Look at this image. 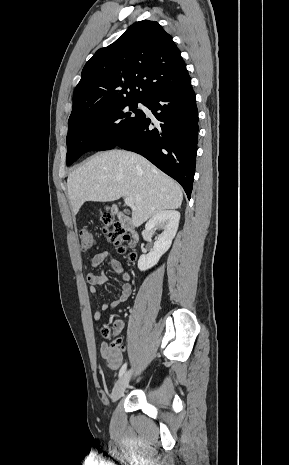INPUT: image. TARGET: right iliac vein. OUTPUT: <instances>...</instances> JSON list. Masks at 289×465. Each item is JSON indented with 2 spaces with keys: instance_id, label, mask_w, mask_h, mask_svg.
I'll list each match as a JSON object with an SVG mask.
<instances>
[{
  "instance_id": "63e3f726",
  "label": "right iliac vein",
  "mask_w": 289,
  "mask_h": 465,
  "mask_svg": "<svg viewBox=\"0 0 289 465\" xmlns=\"http://www.w3.org/2000/svg\"><path fill=\"white\" fill-rule=\"evenodd\" d=\"M131 373L132 371L129 370L128 372H126L124 375H122L120 377V379L116 382L113 390H112V393H111V399L113 402H116L117 400H119L121 398V396L123 395L126 387L128 386V383H129V380H130V377H131Z\"/></svg>"
}]
</instances>
